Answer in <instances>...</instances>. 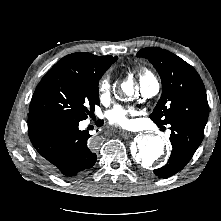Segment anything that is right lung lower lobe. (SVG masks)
Segmentation results:
<instances>
[{
  "label": "right lung lower lobe",
  "mask_w": 221,
  "mask_h": 221,
  "mask_svg": "<svg viewBox=\"0 0 221 221\" xmlns=\"http://www.w3.org/2000/svg\"><path fill=\"white\" fill-rule=\"evenodd\" d=\"M79 122L65 115L29 112V138L45 166L59 176L79 175L96 162L90 135L79 130Z\"/></svg>",
  "instance_id": "98d812e1"
}]
</instances>
